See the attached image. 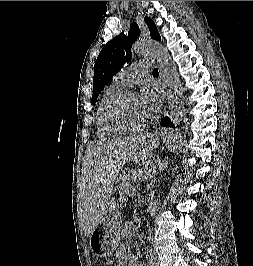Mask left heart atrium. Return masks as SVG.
Instances as JSON below:
<instances>
[{
    "instance_id": "1",
    "label": "left heart atrium",
    "mask_w": 253,
    "mask_h": 266,
    "mask_svg": "<svg viewBox=\"0 0 253 266\" xmlns=\"http://www.w3.org/2000/svg\"><path fill=\"white\" fill-rule=\"evenodd\" d=\"M139 98L146 117L155 114L161 105V95L151 87H145L139 94Z\"/></svg>"
}]
</instances>
